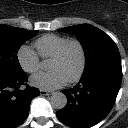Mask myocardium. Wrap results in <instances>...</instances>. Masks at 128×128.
Instances as JSON below:
<instances>
[{
	"instance_id": "obj_1",
	"label": "myocardium",
	"mask_w": 128,
	"mask_h": 128,
	"mask_svg": "<svg viewBox=\"0 0 128 128\" xmlns=\"http://www.w3.org/2000/svg\"><path fill=\"white\" fill-rule=\"evenodd\" d=\"M73 46H76L80 51L81 65H80V68L77 74L67 80L69 83H75L79 81L82 78L85 72L86 66H87V53H86V49L84 45L82 44V42L77 39H70L62 46V48L58 51V53H56L51 58L52 60H57V61L63 60L66 57L69 49Z\"/></svg>"
}]
</instances>
